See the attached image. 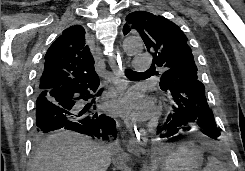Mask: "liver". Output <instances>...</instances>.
<instances>
[{"instance_id": "liver-1", "label": "liver", "mask_w": 245, "mask_h": 171, "mask_svg": "<svg viewBox=\"0 0 245 171\" xmlns=\"http://www.w3.org/2000/svg\"><path fill=\"white\" fill-rule=\"evenodd\" d=\"M111 157L107 148L62 130L43 141L33 158L31 171H106Z\"/></svg>"}]
</instances>
